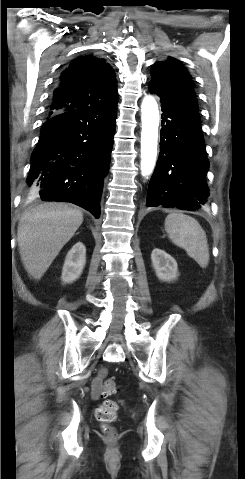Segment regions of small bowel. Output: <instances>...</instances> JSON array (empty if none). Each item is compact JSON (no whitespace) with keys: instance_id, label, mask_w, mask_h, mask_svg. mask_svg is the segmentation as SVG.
Returning <instances> with one entry per match:
<instances>
[{"instance_id":"obj_1","label":"small bowel","mask_w":245,"mask_h":479,"mask_svg":"<svg viewBox=\"0 0 245 479\" xmlns=\"http://www.w3.org/2000/svg\"><path fill=\"white\" fill-rule=\"evenodd\" d=\"M107 371L105 369H101L98 373V375L94 378L92 382V397L94 399H99L103 397L105 394L103 392V379L106 376Z\"/></svg>"}]
</instances>
